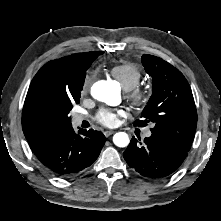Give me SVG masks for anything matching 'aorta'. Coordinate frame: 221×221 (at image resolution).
Wrapping results in <instances>:
<instances>
[{
    "instance_id": "762f6f07",
    "label": "aorta",
    "mask_w": 221,
    "mask_h": 221,
    "mask_svg": "<svg viewBox=\"0 0 221 221\" xmlns=\"http://www.w3.org/2000/svg\"><path fill=\"white\" fill-rule=\"evenodd\" d=\"M91 95L93 98L109 105L119 103V90L110 81L101 80L94 83L91 87ZM113 142L118 147H126L130 140L127 133L118 132L113 136Z\"/></svg>"
}]
</instances>
